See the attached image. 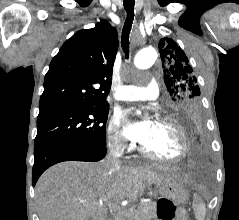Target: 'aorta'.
Listing matches in <instances>:
<instances>
[{"instance_id": "1", "label": "aorta", "mask_w": 239, "mask_h": 220, "mask_svg": "<svg viewBox=\"0 0 239 220\" xmlns=\"http://www.w3.org/2000/svg\"><path fill=\"white\" fill-rule=\"evenodd\" d=\"M156 58L157 52L154 48L151 47L142 48L137 52L134 58V64L138 69H147L152 66Z\"/></svg>"}]
</instances>
